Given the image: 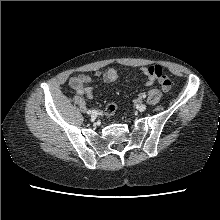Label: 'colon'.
<instances>
[{
	"instance_id": "obj_1",
	"label": "colon",
	"mask_w": 220,
	"mask_h": 220,
	"mask_svg": "<svg viewBox=\"0 0 220 220\" xmlns=\"http://www.w3.org/2000/svg\"><path fill=\"white\" fill-rule=\"evenodd\" d=\"M149 72L152 74L158 81L161 89L163 91H169L172 88V81L167 74L159 66H150ZM118 109L116 102H110L105 109V113L108 117L113 116Z\"/></svg>"
}]
</instances>
